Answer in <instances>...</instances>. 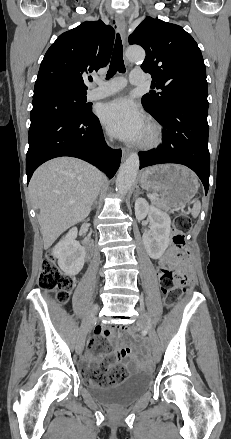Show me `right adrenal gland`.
<instances>
[{
	"label": "right adrenal gland",
	"mask_w": 231,
	"mask_h": 439,
	"mask_svg": "<svg viewBox=\"0 0 231 439\" xmlns=\"http://www.w3.org/2000/svg\"><path fill=\"white\" fill-rule=\"evenodd\" d=\"M96 203H97V200L94 201V203H93V207H94V205H95Z\"/></svg>",
	"instance_id": "1"
}]
</instances>
